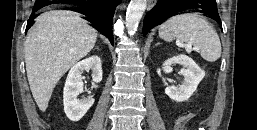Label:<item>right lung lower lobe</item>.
<instances>
[{"mask_svg":"<svg viewBox=\"0 0 257 130\" xmlns=\"http://www.w3.org/2000/svg\"><path fill=\"white\" fill-rule=\"evenodd\" d=\"M119 2L120 0H93V1H88V2L75 4V5L81 8V11H78V12L85 15V17L83 18L89 21L92 27H94L102 34H104L113 45L114 38L112 34V21H113L115 8ZM55 3L56 2L36 0L32 10V14L27 22L26 31L34 23L33 19L37 16L35 15V12H37L39 9L45 6L55 4ZM57 3H63V2H57Z\"/></svg>","mask_w":257,"mask_h":130,"instance_id":"obj_1","label":"right lung lower lobe"}]
</instances>
